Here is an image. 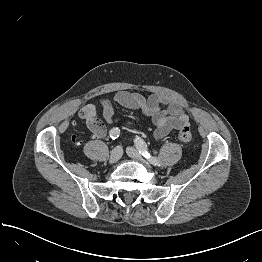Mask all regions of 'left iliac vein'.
Wrapping results in <instances>:
<instances>
[{
  "mask_svg": "<svg viewBox=\"0 0 262 262\" xmlns=\"http://www.w3.org/2000/svg\"><path fill=\"white\" fill-rule=\"evenodd\" d=\"M126 153L128 154L129 157L137 160L138 162L142 163V164H145V165H148V161L145 160L139 153L138 151L133 148V147H128L126 149Z\"/></svg>",
  "mask_w": 262,
  "mask_h": 262,
  "instance_id": "4c4485c4",
  "label": "left iliac vein"
}]
</instances>
